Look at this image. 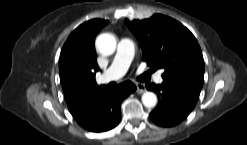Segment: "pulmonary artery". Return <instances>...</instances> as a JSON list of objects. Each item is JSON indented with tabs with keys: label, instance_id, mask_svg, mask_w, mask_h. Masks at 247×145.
<instances>
[{
	"label": "pulmonary artery",
	"instance_id": "e3ab8cb5",
	"mask_svg": "<svg viewBox=\"0 0 247 145\" xmlns=\"http://www.w3.org/2000/svg\"><path fill=\"white\" fill-rule=\"evenodd\" d=\"M135 45L127 38H123L118 47V51L113 62L107 70H105L98 78L100 84L120 79L128 70V67L134 57ZM155 81L161 83L163 81L161 72L155 76Z\"/></svg>",
	"mask_w": 247,
	"mask_h": 145
}]
</instances>
